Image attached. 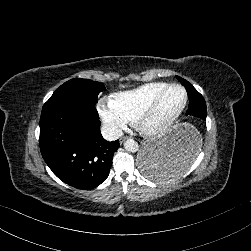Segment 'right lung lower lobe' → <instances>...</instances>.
I'll return each instance as SVG.
<instances>
[{
  "label": "right lung lower lobe",
  "mask_w": 251,
  "mask_h": 251,
  "mask_svg": "<svg viewBox=\"0 0 251 251\" xmlns=\"http://www.w3.org/2000/svg\"><path fill=\"white\" fill-rule=\"evenodd\" d=\"M95 106L65 101L44 104L40 118V150L52 172L64 183L83 190L107 178L119 141L100 133Z\"/></svg>",
  "instance_id": "1"
}]
</instances>
